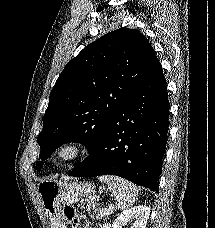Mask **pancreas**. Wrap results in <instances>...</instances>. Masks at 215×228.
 Returning <instances> with one entry per match:
<instances>
[{
	"label": "pancreas",
	"instance_id": "pancreas-1",
	"mask_svg": "<svg viewBox=\"0 0 215 228\" xmlns=\"http://www.w3.org/2000/svg\"><path fill=\"white\" fill-rule=\"evenodd\" d=\"M113 210H110V208H100L96 220H102V218H108V216H111Z\"/></svg>",
	"mask_w": 215,
	"mask_h": 228
}]
</instances>
